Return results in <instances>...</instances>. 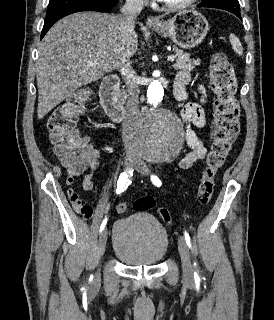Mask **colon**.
<instances>
[{
	"mask_svg": "<svg viewBox=\"0 0 274 320\" xmlns=\"http://www.w3.org/2000/svg\"><path fill=\"white\" fill-rule=\"evenodd\" d=\"M210 81L216 97L215 112L211 129V149L197 191V202L201 206L211 201L216 172L239 132L240 105L236 98L237 76L227 54L223 52L214 54L210 66ZM82 105L80 95L69 96L52 111L47 123L54 153L70 171L66 179L68 185L72 184L74 175L85 170L89 159L93 156L89 139L76 129ZM67 193L68 196H79L71 187ZM153 205H156L153 198L143 197L135 200L131 207L135 211L144 212L151 210ZM115 208L118 214H124L128 211L129 205L121 202ZM157 213L165 223H171L172 217L167 209L158 207Z\"/></svg>",
	"mask_w": 274,
	"mask_h": 320,
	"instance_id": "colon-1",
	"label": "colon"
}]
</instances>
